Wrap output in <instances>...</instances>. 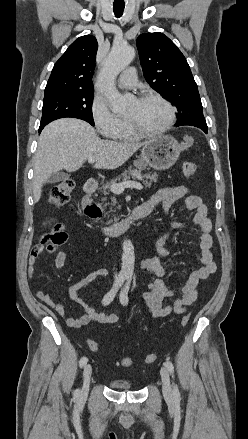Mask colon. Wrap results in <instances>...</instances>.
Wrapping results in <instances>:
<instances>
[{"mask_svg":"<svg viewBox=\"0 0 248 439\" xmlns=\"http://www.w3.org/2000/svg\"><path fill=\"white\" fill-rule=\"evenodd\" d=\"M197 171V166L192 161H185L182 165V172L185 178H192ZM74 189V182L71 180H63L59 182L51 191L50 194V203H52L55 206H62L66 204L72 194V191ZM67 239V234L64 230V227L59 224L55 223L51 226L50 231L42 238L41 243L39 246L42 249L51 250L54 247H57L59 245H62ZM189 315H184L181 320V325L185 326L189 322ZM88 345L90 349L94 352H97L99 350V346L95 341L89 340ZM157 358V355L155 353L149 354L144 358V362L146 364L153 363ZM118 364L124 367H130L134 364V360L131 358H120L118 360Z\"/></svg>","mask_w":248,"mask_h":439,"instance_id":"1","label":"colon"}]
</instances>
